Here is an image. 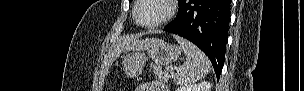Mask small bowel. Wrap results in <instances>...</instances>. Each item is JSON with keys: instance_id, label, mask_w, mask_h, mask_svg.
Returning a JSON list of instances; mask_svg holds the SVG:
<instances>
[{"instance_id": "obj_1", "label": "small bowel", "mask_w": 304, "mask_h": 91, "mask_svg": "<svg viewBox=\"0 0 304 91\" xmlns=\"http://www.w3.org/2000/svg\"><path fill=\"white\" fill-rule=\"evenodd\" d=\"M139 91H167V87L164 83L160 81H150L148 83L143 84L139 89Z\"/></svg>"}]
</instances>
